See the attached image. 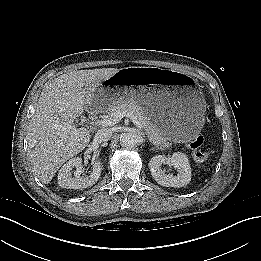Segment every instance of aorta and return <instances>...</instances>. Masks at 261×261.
Returning <instances> with one entry per match:
<instances>
[{
	"mask_svg": "<svg viewBox=\"0 0 261 261\" xmlns=\"http://www.w3.org/2000/svg\"><path fill=\"white\" fill-rule=\"evenodd\" d=\"M140 137L133 132L123 133L120 136V143L124 148H133L139 143Z\"/></svg>",
	"mask_w": 261,
	"mask_h": 261,
	"instance_id": "obj_1",
	"label": "aorta"
}]
</instances>
